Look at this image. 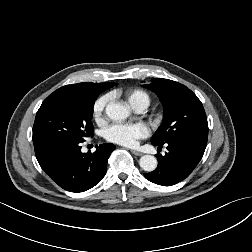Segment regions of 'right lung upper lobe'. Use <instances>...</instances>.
<instances>
[{
	"instance_id": "obj_1",
	"label": "right lung upper lobe",
	"mask_w": 252,
	"mask_h": 252,
	"mask_svg": "<svg viewBox=\"0 0 252 252\" xmlns=\"http://www.w3.org/2000/svg\"><path fill=\"white\" fill-rule=\"evenodd\" d=\"M115 83H91L83 82L78 84L66 85L56 91L71 92L79 95L98 97L100 93L113 87Z\"/></svg>"
}]
</instances>
